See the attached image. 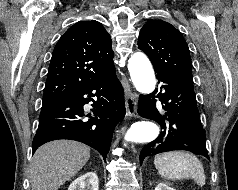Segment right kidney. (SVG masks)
<instances>
[{
	"mask_svg": "<svg viewBox=\"0 0 238 190\" xmlns=\"http://www.w3.org/2000/svg\"><path fill=\"white\" fill-rule=\"evenodd\" d=\"M68 190H99V180L95 172H87L75 179Z\"/></svg>",
	"mask_w": 238,
	"mask_h": 190,
	"instance_id": "obj_1",
	"label": "right kidney"
}]
</instances>
